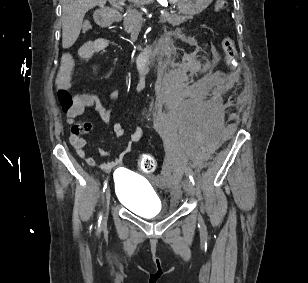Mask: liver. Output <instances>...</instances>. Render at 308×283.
<instances>
[{"label": "liver", "instance_id": "liver-1", "mask_svg": "<svg viewBox=\"0 0 308 283\" xmlns=\"http://www.w3.org/2000/svg\"><path fill=\"white\" fill-rule=\"evenodd\" d=\"M135 4H147L151 0H130ZM107 0H63L62 46L71 47L79 37L85 14L92 8L104 7Z\"/></svg>", "mask_w": 308, "mask_h": 283}]
</instances>
